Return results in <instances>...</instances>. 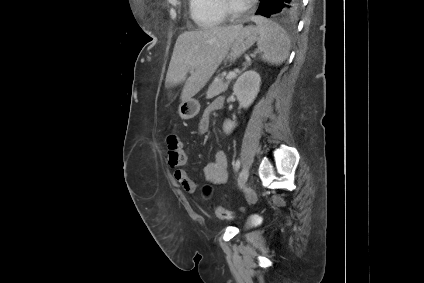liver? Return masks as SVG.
<instances>
[{"instance_id": "obj_1", "label": "liver", "mask_w": 424, "mask_h": 283, "mask_svg": "<svg viewBox=\"0 0 424 283\" xmlns=\"http://www.w3.org/2000/svg\"><path fill=\"white\" fill-rule=\"evenodd\" d=\"M242 28V24L215 26L179 35L166 75V87L185 81L181 100L197 94L226 57ZM188 73L190 76L187 78Z\"/></svg>"}]
</instances>
